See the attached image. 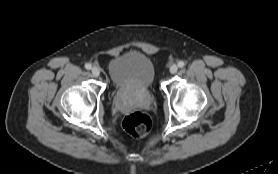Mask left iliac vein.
<instances>
[{
    "label": "left iliac vein",
    "instance_id": "left-iliac-vein-1",
    "mask_svg": "<svg viewBox=\"0 0 278 174\" xmlns=\"http://www.w3.org/2000/svg\"><path fill=\"white\" fill-rule=\"evenodd\" d=\"M178 71V66L176 64L171 65L170 73L175 74Z\"/></svg>",
    "mask_w": 278,
    "mask_h": 174
}]
</instances>
